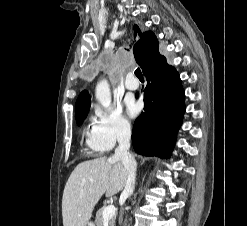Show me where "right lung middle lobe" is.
<instances>
[{
  "label": "right lung middle lobe",
  "instance_id": "right-lung-middle-lobe-1",
  "mask_svg": "<svg viewBox=\"0 0 247 226\" xmlns=\"http://www.w3.org/2000/svg\"><path fill=\"white\" fill-rule=\"evenodd\" d=\"M88 112H85L83 115H80V116H77L76 117V121H77V124L80 125L82 123V121L85 119L86 115H87Z\"/></svg>",
  "mask_w": 247,
  "mask_h": 226
}]
</instances>
